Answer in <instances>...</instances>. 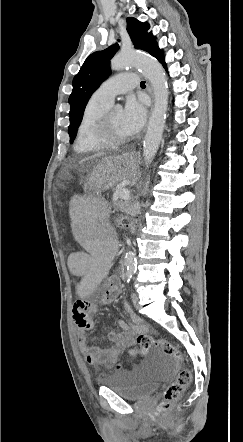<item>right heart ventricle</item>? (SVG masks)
<instances>
[{"label": "right heart ventricle", "mask_w": 243, "mask_h": 442, "mask_svg": "<svg viewBox=\"0 0 243 442\" xmlns=\"http://www.w3.org/2000/svg\"><path fill=\"white\" fill-rule=\"evenodd\" d=\"M110 104L96 100L93 96L87 102L78 125L74 150L77 153H91L104 149L94 137V128L98 119L107 111Z\"/></svg>", "instance_id": "1"}]
</instances>
